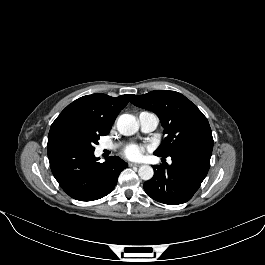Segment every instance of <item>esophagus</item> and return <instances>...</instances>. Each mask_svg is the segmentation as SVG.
I'll use <instances>...</instances> for the list:
<instances>
[{
  "instance_id": "34e87169",
  "label": "esophagus",
  "mask_w": 265,
  "mask_h": 265,
  "mask_svg": "<svg viewBox=\"0 0 265 265\" xmlns=\"http://www.w3.org/2000/svg\"><path fill=\"white\" fill-rule=\"evenodd\" d=\"M129 166H136V167H139V166H141V164H139V163H129Z\"/></svg>"
}]
</instances>
